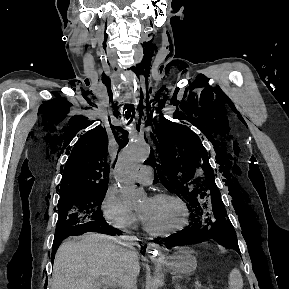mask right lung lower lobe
<instances>
[{
	"instance_id": "98d812e1",
	"label": "right lung lower lobe",
	"mask_w": 289,
	"mask_h": 289,
	"mask_svg": "<svg viewBox=\"0 0 289 289\" xmlns=\"http://www.w3.org/2000/svg\"><path fill=\"white\" fill-rule=\"evenodd\" d=\"M90 231H95V232L108 234V235L120 234V232L116 228L109 226L106 222H103L101 224H94V225L85 226L83 228H79L77 230L70 232L68 234V236L80 235V234L90 232ZM64 238H66V236H61V237L55 236L54 243H53V250H52V261L54 260L55 252H56L60 242ZM144 250H145V247H144Z\"/></svg>"
}]
</instances>
